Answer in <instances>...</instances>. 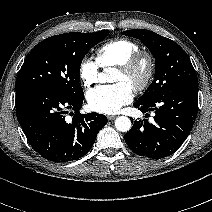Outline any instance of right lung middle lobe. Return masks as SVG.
<instances>
[{"label":"right lung middle lobe","instance_id":"1","mask_svg":"<svg viewBox=\"0 0 212 212\" xmlns=\"http://www.w3.org/2000/svg\"><path fill=\"white\" fill-rule=\"evenodd\" d=\"M108 34L107 30L71 32L41 41L24 61L15 85L16 91L45 88L70 98L83 96L79 84L81 62L88 50Z\"/></svg>","mask_w":212,"mask_h":212}]
</instances>
